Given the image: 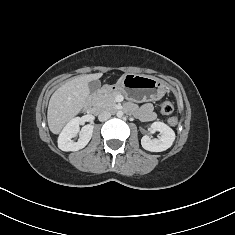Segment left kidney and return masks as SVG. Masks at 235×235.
I'll return each instance as SVG.
<instances>
[{"label":"left kidney","mask_w":235,"mask_h":235,"mask_svg":"<svg viewBox=\"0 0 235 235\" xmlns=\"http://www.w3.org/2000/svg\"><path fill=\"white\" fill-rule=\"evenodd\" d=\"M151 128L154 131H159L158 139H151L145 135L141 139V145L145 150L151 152H162L170 148L175 140L174 131L163 122H153Z\"/></svg>","instance_id":"5707ae66"}]
</instances>
